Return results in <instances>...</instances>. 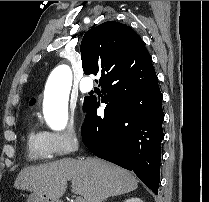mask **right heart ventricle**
Returning <instances> with one entry per match:
<instances>
[{"mask_svg":"<svg viewBox=\"0 0 209 202\" xmlns=\"http://www.w3.org/2000/svg\"><path fill=\"white\" fill-rule=\"evenodd\" d=\"M27 158L31 161H45L54 155L44 143L42 133L34 124H31L26 134Z\"/></svg>","mask_w":209,"mask_h":202,"instance_id":"right-heart-ventricle-1","label":"right heart ventricle"}]
</instances>
